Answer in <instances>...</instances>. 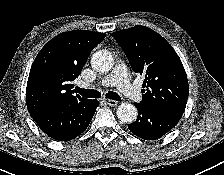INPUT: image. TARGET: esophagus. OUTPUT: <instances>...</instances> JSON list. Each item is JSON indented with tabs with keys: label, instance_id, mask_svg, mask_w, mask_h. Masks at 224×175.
<instances>
[{
	"label": "esophagus",
	"instance_id": "obj_1",
	"mask_svg": "<svg viewBox=\"0 0 224 175\" xmlns=\"http://www.w3.org/2000/svg\"><path fill=\"white\" fill-rule=\"evenodd\" d=\"M105 102L111 107L117 106V104H118L117 101L112 100V99H105Z\"/></svg>",
	"mask_w": 224,
	"mask_h": 175
}]
</instances>
